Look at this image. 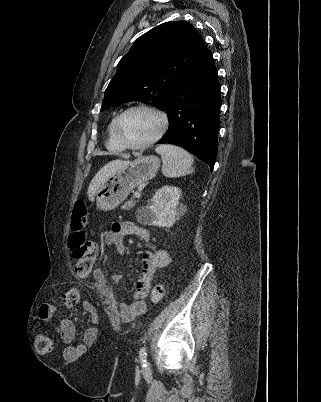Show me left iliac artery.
I'll use <instances>...</instances> for the list:
<instances>
[{
    "mask_svg": "<svg viewBox=\"0 0 321 402\" xmlns=\"http://www.w3.org/2000/svg\"><path fill=\"white\" fill-rule=\"evenodd\" d=\"M146 351H147L146 347L144 346L140 349V352H139V358H140V361H141L143 367L147 366V352Z\"/></svg>",
    "mask_w": 321,
    "mask_h": 402,
    "instance_id": "obj_1",
    "label": "left iliac artery"
}]
</instances>
